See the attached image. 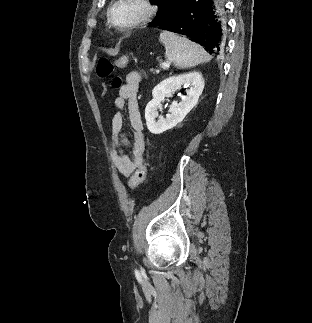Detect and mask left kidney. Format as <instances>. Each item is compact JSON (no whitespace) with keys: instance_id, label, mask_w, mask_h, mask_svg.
Listing matches in <instances>:
<instances>
[{"instance_id":"1","label":"left kidney","mask_w":312,"mask_h":323,"mask_svg":"<svg viewBox=\"0 0 312 323\" xmlns=\"http://www.w3.org/2000/svg\"><path fill=\"white\" fill-rule=\"evenodd\" d=\"M181 86L189 88L185 90L186 96H183L181 102H172L168 116H159L157 110L164 102L167 94H172L175 90H180ZM204 88V78L200 72H188L182 76H170L152 90L153 100L148 102L145 108V120L147 128L151 134H163L166 130H171L180 122H183L185 116L196 106L199 96ZM158 118V120H156Z\"/></svg>"}]
</instances>
